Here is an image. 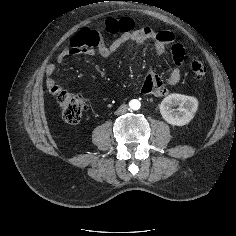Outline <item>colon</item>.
<instances>
[{"label": "colon", "instance_id": "obj_1", "mask_svg": "<svg viewBox=\"0 0 236 236\" xmlns=\"http://www.w3.org/2000/svg\"><path fill=\"white\" fill-rule=\"evenodd\" d=\"M190 69L193 76L198 80L203 79L207 74L206 66L200 61H193ZM57 101L64 121L69 124L78 123L87 108L86 98L82 94L63 89L57 94Z\"/></svg>", "mask_w": 236, "mask_h": 236}]
</instances>
